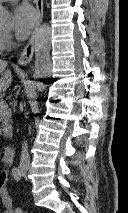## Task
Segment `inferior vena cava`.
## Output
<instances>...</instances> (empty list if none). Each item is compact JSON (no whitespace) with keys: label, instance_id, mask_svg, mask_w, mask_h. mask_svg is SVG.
Segmentation results:
<instances>
[{"label":"inferior vena cava","instance_id":"obj_1","mask_svg":"<svg viewBox=\"0 0 128 213\" xmlns=\"http://www.w3.org/2000/svg\"><path fill=\"white\" fill-rule=\"evenodd\" d=\"M30 164V157L28 153V146L27 143L24 142L22 146V153H21V158H20V167H28Z\"/></svg>","mask_w":128,"mask_h":213}]
</instances>
